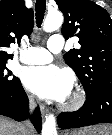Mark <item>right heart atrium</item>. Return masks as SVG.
Masks as SVG:
<instances>
[{"mask_svg": "<svg viewBox=\"0 0 112 135\" xmlns=\"http://www.w3.org/2000/svg\"><path fill=\"white\" fill-rule=\"evenodd\" d=\"M29 99L32 101L33 100V98L31 97V96H29Z\"/></svg>", "mask_w": 112, "mask_h": 135, "instance_id": "obj_1", "label": "right heart atrium"}]
</instances>
